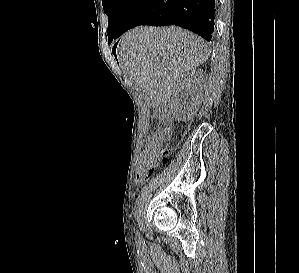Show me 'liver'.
<instances>
[{"mask_svg": "<svg viewBox=\"0 0 299 273\" xmlns=\"http://www.w3.org/2000/svg\"><path fill=\"white\" fill-rule=\"evenodd\" d=\"M119 64L151 105L167 103L177 80L205 63L209 48L199 36L179 27H136L118 43Z\"/></svg>", "mask_w": 299, "mask_h": 273, "instance_id": "1", "label": "liver"}]
</instances>
